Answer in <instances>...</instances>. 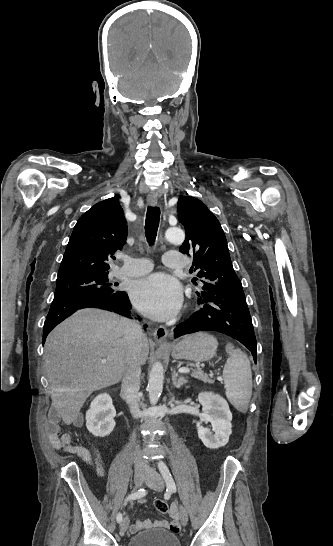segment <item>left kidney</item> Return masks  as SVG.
<instances>
[{"mask_svg": "<svg viewBox=\"0 0 333 546\" xmlns=\"http://www.w3.org/2000/svg\"><path fill=\"white\" fill-rule=\"evenodd\" d=\"M198 400L202 405L203 415L201 421L211 422L213 432L209 428L197 423L198 437L203 444L210 449H218L225 446L232 433V414L227 401L220 395L213 392H201Z\"/></svg>", "mask_w": 333, "mask_h": 546, "instance_id": "obj_1", "label": "left kidney"}]
</instances>
